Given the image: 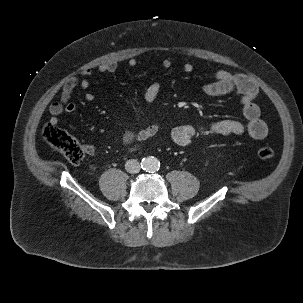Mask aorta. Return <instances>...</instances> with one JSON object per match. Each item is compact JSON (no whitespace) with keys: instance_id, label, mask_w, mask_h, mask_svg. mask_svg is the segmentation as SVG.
Listing matches in <instances>:
<instances>
[{"instance_id":"762f6f07","label":"aorta","mask_w":303,"mask_h":303,"mask_svg":"<svg viewBox=\"0 0 303 303\" xmlns=\"http://www.w3.org/2000/svg\"><path fill=\"white\" fill-rule=\"evenodd\" d=\"M142 167L147 172H156L160 168V162L156 157L149 156L142 160Z\"/></svg>"}]
</instances>
